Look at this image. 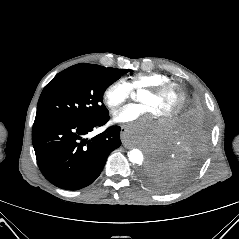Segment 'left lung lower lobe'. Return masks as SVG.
<instances>
[{
    "label": "left lung lower lobe",
    "instance_id": "1",
    "mask_svg": "<svg viewBox=\"0 0 239 239\" xmlns=\"http://www.w3.org/2000/svg\"><path fill=\"white\" fill-rule=\"evenodd\" d=\"M208 122L201 99L190 96L175 124L150 154L144 176H152L168 191L188 182L203 161Z\"/></svg>",
    "mask_w": 239,
    "mask_h": 239
}]
</instances>
